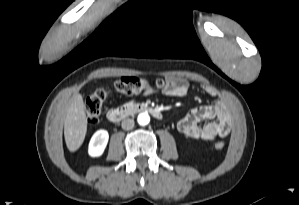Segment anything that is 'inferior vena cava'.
<instances>
[{
	"label": "inferior vena cava",
	"instance_id": "inferior-vena-cava-1",
	"mask_svg": "<svg viewBox=\"0 0 299 205\" xmlns=\"http://www.w3.org/2000/svg\"><path fill=\"white\" fill-rule=\"evenodd\" d=\"M121 126L124 130H131L134 127V120L130 118L124 119Z\"/></svg>",
	"mask_w": 299,
	"mask_h": 205
}]
</instances>
